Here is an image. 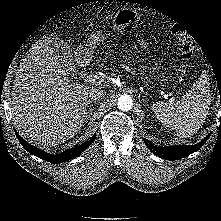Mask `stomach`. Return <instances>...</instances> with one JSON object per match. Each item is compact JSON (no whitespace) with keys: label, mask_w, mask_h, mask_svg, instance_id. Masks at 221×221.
<instances>
[{"label":"stomach","mask_w":221,"mask_h":221,"mask_svg":"<svg viewBox=\"0 0 221 221\" xmlns=\"http://www.w3.org/2000/svg\"><path fill=\"white\" fill-rule=\"evenodd\" d=\"M140 15L136 10L130 8H123L118 10L115 16L112 18V26L111 28L115 32H122L124 28L129 26L133 21L137 20ZM106 35L102 32H94L90 35L88 39V43L86 45H82L78 48V54L84 56V58H88L92 52V50L98 45L100 42L104 41ZM163 83L167 82V79L162 80Z\"/></svg>","instance_id":"0dacf381"}]
</instances>
